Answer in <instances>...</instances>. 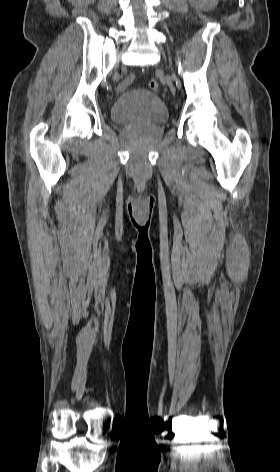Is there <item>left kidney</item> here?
<instances>
[{
    "instance_id": "1",
    "label": "left kidney",
    "mask_w": 280,
    "mask_h": 472,
    "mask_svg": "<svg viewBox=\"0 0 280 472\" xmlns=\"http://www.w3.org/2000/svg\"><path fill=\"white\" fill-rule=\"evenodd\" d=\"M212 0H189L191 4H193L197 8H210L212 4H210Z\"/></svg>"
}]
</instances>
